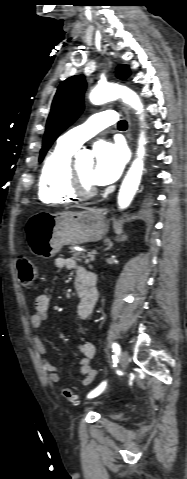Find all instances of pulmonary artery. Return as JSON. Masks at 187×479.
<instances>
[{
  "instance_id": "pulmonary-artery-1",
  "label": "pulmonary artery",
  "mask_w": 187,
  "mask_h": 479,
  "mask_svg": "<svg viewBox=\"0 0 187 479\" xmlns=\"http://www.w3.org/2000/svg\"><path fill=\"white\" fill-rule=\"evenodd\" d=\"M117 121L114 110H107L92 115L84 124L75 127L59 138V142L73 149H78L82 143L96 133Z\"/></svg>"
}]
</instances>
